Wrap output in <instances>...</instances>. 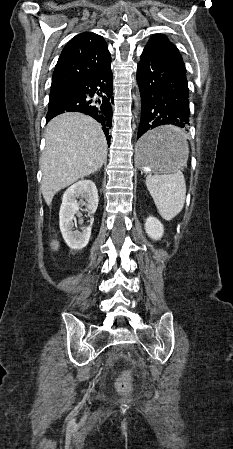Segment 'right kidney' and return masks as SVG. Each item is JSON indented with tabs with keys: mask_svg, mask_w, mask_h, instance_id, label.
<instances>
[{
	"mask_svg": "<svg viewBox=\"0 0 233 449\" xmlns=\"http://www.w3.org/2000/svg\"><path fill=\"white\" fill-rule=\"evenodd\" d=\"M98 202V191L95 183L91 180L78 181L65 191L59 212V225L62 236L71 249L81 250L88 244L93 223V218H91L90 225L83 227L82 232L73 231L74 215H81L79 210L83 205L86 206L89 215L94 214ZM79 223L82 224L83 221L80 220Z\"/></svg>",
	"mask_w": 233,
	"mask_h": 449,
	"instance_id": "obj_1",
	"label": "right kidney"
}]
</instances>
